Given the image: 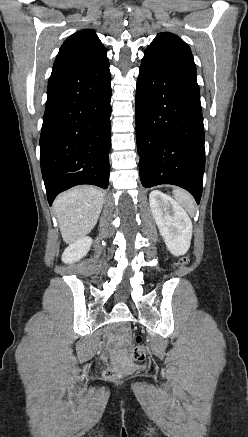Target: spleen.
Wrapping results in <instances>:
<instances>
[{"instance_id":"1","label":"spleen","mask_w":248,"mask_h":437,"mask_svg":"<svg viewBox=\"0 0 248 437\" xmlns=\"http://www.w3.org/2000/svg\"><path fill=\"white\" fill-rule=\"evenodd\" d=\"M173 196H174L175 200L179 204H181L191 216L194 215L195 202H194L193 197L188 192H186L185 190L176 188L173 190Z\"/></svg>"}]
</instances>
